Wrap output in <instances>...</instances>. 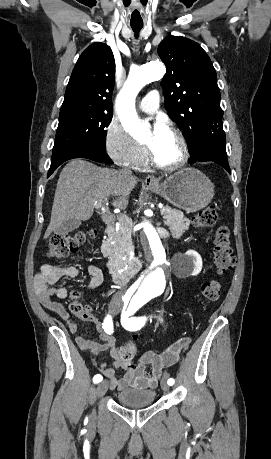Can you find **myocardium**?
Listing matches in <instances>:
<instances>
[{"instance_id": "myocardium-1", "label": "myocardium", "mask_w": 271, "mask_h": 459, "mask_svg": "<svg viewBox=\"0 0 271 459\" xmlns=\"http://www.w3.org/2000/svg\"><path fill=\"white\" fill-rule=\"evenodd\" d=\"M167 131H169L173 135L174 139L178 144V154L175 158L171 160L161 159L151 150V148L148 145H146V148L148 150V154L150 156L151 161L158 167L162 169L179 168L187 163L190 157V148L185 136L175 125L169 124L167 127Z\"/></svg>"}]
</instances>
